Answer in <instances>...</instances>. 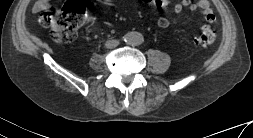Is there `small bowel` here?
Listing matches in <instances>:
<instances>
[{"label": "small bowel", "mask_w": 253, "mask_h": 138, "mask_svg": "<svg viewBox=\"0 0 253 138\" xmlns=\"http://www.w3.org/2000/svg\"><path fill=\"white\" fill-rule=\"evenodd\" d=\"M144 1L162 10L167 9L171 5L169 0ZM51 2L52 0H38L34 5V11L36 13H40L47 10L50 7ZM172 8L175 13H180L183 9H188L190 11L199 9L202 12L205 20V23L201 26V30L203 31L209 29L211 25L215 22V15L207 0H197L196 2H194L193 0H181L180 2L175 3ZM157 26L162 30L167 29L169 27V20L165 17H159L157 19Z\"/></svg>", "instance_id": "c3829d8e"}]
</instances>
